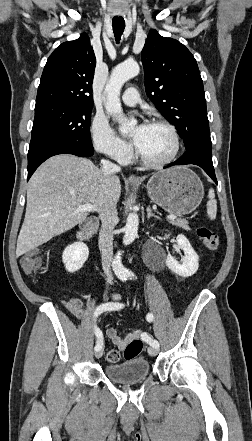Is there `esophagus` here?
Segmentation results:
<instances>
[{
    "instance_id": "1",
    "label": "esophagus",
    "mask_w": 252,
    "mask_h": 441,
    "mask_svg": "<svg viewBox=\"0 0 252 441\" xmlns=\"http://www.w3.org/2000/svg\"><path fill=\"white\" fill-rule=\"evenodd\" d=\"M128 180H129V182H132V183H139L140 182L139 178L135 175H130Z\"/></svg>"
}]
</instances>
